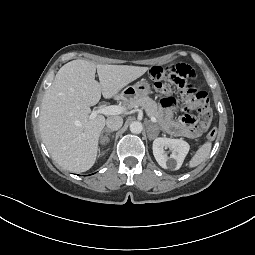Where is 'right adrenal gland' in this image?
I'll return each mask as SVG.
<instances>
[{
	"label": "right adrenal gland",
	"instance_id": "1",
	"mask_svg": "<svg viewBox=\"0 0 255 255\" xmlns=\"http://www.w3.org/2000/svg\"><path fill=\"white\" fill-rule=\"evenodd\" d=\"M105 131H106L108 134H110V133L112 132V130H110V129H105ZM106 139H107V141L109 140L108 137H107ZM101 144H104V141H101Z\"/></svg>",
	"mask_w": 255,
	"mask_h": 255
}]
</instances>
